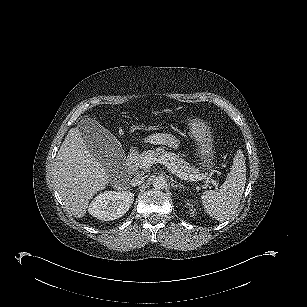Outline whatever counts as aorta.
I'll return each instance as SVG.
<instances>
[{"label": "aorta", "mask_w": 307, "mask_h": 307, "mask_svg": "<svg viewBox=\"0 0 307 307\" xmlns=\"http://www.w3.org/2000/svg\"><path fill=\"white\" fill-rule=\"evenodd\" d=\"M152 185L155 189H164L167 185L166 179L164 176H155L152 179Z\"/></svg>", "instance_id": "1"}]
</instances>
